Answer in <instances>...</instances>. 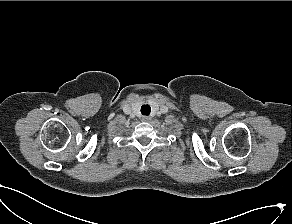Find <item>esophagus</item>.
I'll return each instance as SVG.
<instances>
[{
    "label": "esophagus",
    "instance_id": "1",
    "mask_svg": "<svg viewBox=\"0 0 292 224\" xmlns=\"http://www.w3.org/2000/svg\"><path fill=\"white\" fill-rule=\"evenodd\" d=\"M149 120H150V117H148V116L142 117V121H144V122H148Z\"/></svg>",
    "mask_w": 292,
    "mask_h": 224
}]
</instances>
